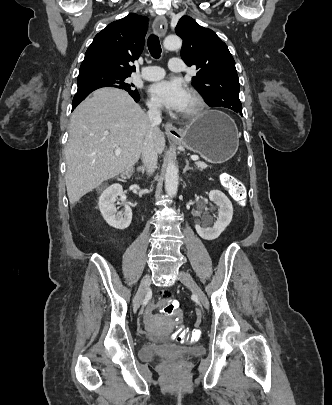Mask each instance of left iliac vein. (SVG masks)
<instances>
[{
  "label": "left iliac vein",
  "instance_id": "obj_1",
  "mask_svg": "<svg viewBox=\"0 0 332 405\" xmlns=\"http://www.w3.org/2000/svg\"><path fill=\"white\" fill-rule=\"evenodd\" d=\"M179 279L180 281L187 286L193 294L196 296L198 301L206 308H209V300L207 296L205 295L204 291L197 285V283L194 281L192 276L186 272V271H180L179 273Z\"/></svg>",
  "mask_w": 332,
  "mask_h": 405
}]
</instances>
